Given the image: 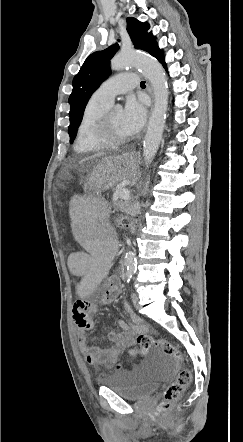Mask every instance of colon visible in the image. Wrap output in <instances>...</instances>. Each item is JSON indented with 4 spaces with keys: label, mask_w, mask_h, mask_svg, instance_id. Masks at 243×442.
Instances as JSON below:
<instances>
[{
    "label": "colon",
    "mask_w": 243,
    "mask_h": 442,
    "mask_svg": "<svg viewBox=\"0 0 243 442\" xmlns=\"http://www.w3.org/2000/svg\"><path fill=\"white\" fill-rule=\"evenodd\" d=\"M111 218L110 224L117 226L118 229L143 230L146 227L145 222L138 221L136 216H129L128 213H116L112 215ZM137 342L142 354L147 353L153 347H158L165 354L174 357L176 360L180 362L184 361L182 351L167 339L154 338L149 334H140L137 338ZM191 379L190 371L188 369H182L176 379L165 389L160 407L161 416H167L171 405L179 400L184 390L191 383Z\"/></svg>",
    "instance_id": "obj_1"
}]
</instances>
